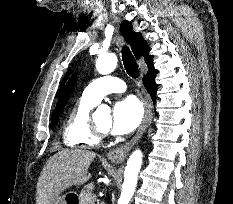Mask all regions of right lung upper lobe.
I'll use <instances>...</instances> for the list:
<instances>
[{
    "label": "right lung upper lobe",
    "mask_w": 233,
    "mask_h": 204,
    "mask_svg": "<svg viewBox=\"0 0 233 204\" xmlns=\"http://www.w3.org/2000/svg\"><path fill=\"white\" fill-rule=\"evenodd\" d=\"M121 33L126 39V41L130 44L136 59H139L141 56H143L145 58V62L147 63L148 69L153 67L152 58L149 55V47L142 38V35L133 30L132 24L129 21H122ZM66 78L67 75L65 76L62 82L61 88L63 87Z\"/></svg>",
    "instance_id": "obj_1"
}]
</instances>
